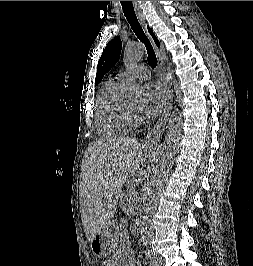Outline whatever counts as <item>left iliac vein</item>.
I'll list each match as a JSON object with an SVG mask.
<instances>
[{
  "label": "left iliac vein",
  "mask_w": 253,
  "mask_h": 266,
  "mask_svg": "<svg viewBox=\"0 0 253 266\" xmlns=\"http://www.w3.org/2000/svg\"><path fill=\"white\" fill-rule=\"evenodd\" d=\"M158 260H159V263L161 264V258L160 257H158Z\"/></svg>",
  "instance_id": "4c4485c4"
}]
</instances>
